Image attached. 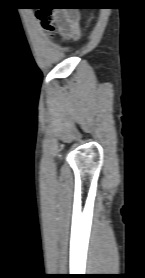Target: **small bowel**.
<instances>
[{
  "label": "small bowel",
  "mask_w": 145,
  "mask_h": 278,
  "mask_svg": "<svg viewBox=\"0 0 145 278\" xmlns=\"http://www.w3.org/2000/svg\"><path fill=\"white\" fill-rule=\"evenodd\" d=\"M72 14L66 13V12H58V21L60 24L64 23L68 17H70ZM59 32L62 37L64 38H71V39H77L80 35V30L77 25V27L74 30H68L66 28L59 27Z\"/></svg>",
  "instance_id": "obj_1"
}]
</instances>
